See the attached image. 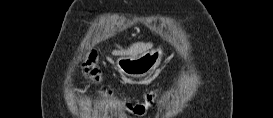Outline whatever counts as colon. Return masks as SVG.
Wrapping results in <instances>:
<instances>
[{"label": "colon", "instance_id": "5ec220e1", "mask_svg": "<svg viewBox=\"0 0 273 118\" xmlns=\"http://www.w3.org/2000/svg\"><path fill=\"white\" fill-rule=\"evenodd\" d=\"M83 73L90 86L101 89L103 87V78L100 69L97 66V58L92 52H88L83 61ZM110 96L111 91L105 90L102 92ZM158 97V89L155 88L149 91L142 101L132 102L125 100V105L128 110L136 116H142L153 105Z\"/></svg>", "mask_w": 273, "mask_h": 118}]
</instances>
